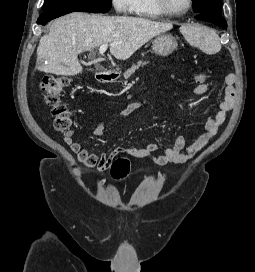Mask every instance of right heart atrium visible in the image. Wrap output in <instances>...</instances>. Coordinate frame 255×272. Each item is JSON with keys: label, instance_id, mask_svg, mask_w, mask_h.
<instances>
[{"label": "right heart atrium", "instance_id": "1", "mask_svg": "<svg viewBox=\"0 0 255 272\" xmlns=\"http://www.w3.org/2000/svg\"><path fill=\"white\" fill-rule=\"evenodd\" d=\"M112 6L117 13H132L135 10V0H112Z\"/></svg>", "mask_w": 255, "mask_h": 272}]
</instances>
